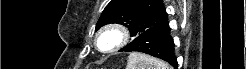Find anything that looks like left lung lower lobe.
Wrapping results in <instances>:
<instances>
[{
	"label": "left lung lower lobe",
	"instance_id": "obj_1",
	"mask_svg": "<svg viewBox=\"0 0 246 69\" xmlns=\"http://www.w3.org/2000/svg\"><path fill=\"white\" fill-rule=\"evenodd\" d=\"M169 22L151 27L137 36L130 44L120 51L143 52L169 62L175 68L177 60L174 53V42L170 36Z\"/></svg>",
	"mask_w": 246,
	"mask_h": 69
}]
</instances>
